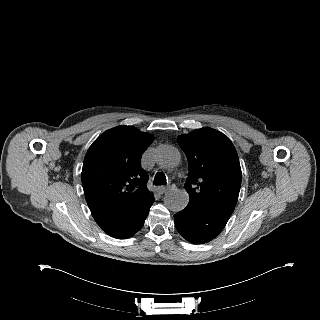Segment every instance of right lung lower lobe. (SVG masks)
<instances>
[{
	"label": "right lung lower lobe",
	"mask_w": 320,
	"mask_h": 320,
	"mask_svg": "<svg viewBox=\"0 0 320 320\" xmlns=\"http://www.w3.org/2000/svg\"><path fill=\"white\" fill-rule=\"evenodd\" d=\"M153 202L135 212L100 222L98 225L111 237L117 239L129 238L142 228Z\"/></svg>",
	"instance_id": "right-lung-lower-lobe-1"
}]
</instances>
